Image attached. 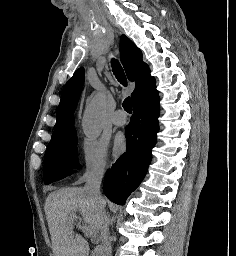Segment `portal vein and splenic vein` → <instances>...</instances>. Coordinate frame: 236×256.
I'll use <instances>...</instances> for the list:
<instances>
[{
	"mask_svg": "<svg viewBox=\"0 0 236 256\" xmlns=\"http://www.w3.org/2000/svg\"><path fill=\"white\" fill-rule=\"evenodd\" d=\"M72 218H73V222H79L80 220L78 216H72ZM83 230L84 232H87L89 236H92V238H95L94 234H96V232H94L93 228H90V226H83Z\"/></svg>",
	"mask_w": 236,
	"mask_h": 256,
	"instance_id": "obj_1",
	"label": "portal vein and splenic vein"
}]
</instances>
